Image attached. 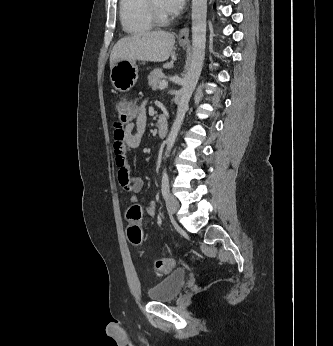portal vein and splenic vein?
<instances>
[{
    "label": "portal vein and splenic vein",
    "instance_id": "obj_1",
    "mask_svg": "<svg viewBox=\"0 0 333 346\" xmlns=\"http://www.w3.org/2000/svg\"><path fill=\"white\" fill-rule=\"evenodd\" d=\"M167 85H168V82L164 79L160 82L159 89H164L167 87Z\"/></svg>",
    "mask_w": 333,
    "mask_h": 346
}]
</instances>
